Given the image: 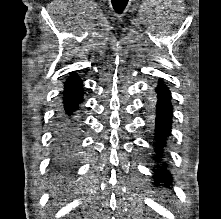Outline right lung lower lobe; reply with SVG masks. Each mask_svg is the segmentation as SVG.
Returning <instances> with one entry per match:
<instances>
[{"instance_id":"right-lung-lower-lobe-1","label":"right lung lower lobe","mask_w":221,"mask_h":219,"mask_svg":"<svg viewBox=\"0 0 221 219\" xmlns=\"http://www.w3.org/2000/svg\"><path fill=\"white\" fill-rule=\"evenodd\" d=\"M82 82L71 76L65 83L63 108L58 111L54 124L53 149L55 162L64 164L77 151L80 121L76 110L83 100Z\"/></svg>"}]
</instances>
